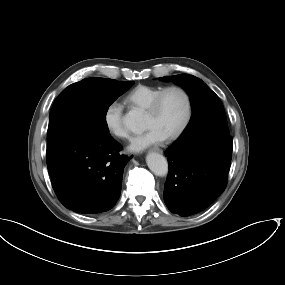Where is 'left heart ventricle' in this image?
I'll list each match as a JSON object with an SVG mask.
<instances>
[{"mask_svg":"<svg viewBox=\"0 0 285 285\" xmlns=\"http://www.w3.org/2000/svg\"><path fill=\"white\" fill-rule=\"evenodd\" d=\"M186 103L183 95L176 90L165 94L158 111L146 112V128H155L165 137L175 132L183 121Z\"/></svg>","mask_w":285,"mask_h":285,"instance_id":"1","label":"left heart ventricle"}]
</instances>
